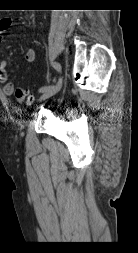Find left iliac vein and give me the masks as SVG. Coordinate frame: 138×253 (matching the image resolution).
Returning <instances> with one entry per match:
<instances>
[{
  "label": "left iliac vein",
  "instance_id": "left-iliac-vein-1",
  "mask_svg": "<svg viewBox=\"0 0 138 253\" xmlns=\"http://www.w3.org/2000/svg\"><path fill=\"white\" fill-rule=\"evenodd\" d=\"M62 83H63V78H62V76H60L58 81L56 82V84L50 86L47 90L42 92V94L39 98V102L44 101V100L52 97L53 95H55L61 89Z\"/></svg>",
  "mask_w": 138,
  "mask_h": 253
}]
</instances>
